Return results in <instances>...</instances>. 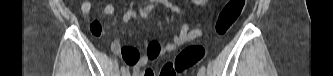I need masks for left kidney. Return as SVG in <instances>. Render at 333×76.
Wrapping results in <instances>:
<instances>
[{
  "label": "left kidney",
  "instance_id": "1",
  "mask_svg": "<svg viewBox=\"0 0 333 76\" xmlns=\"http://www.w3.org/2000/svg\"><path fill=\"white\" fill-rule=\"evenodd\" d=\"M195 2H201V1H197V0H195Z\"/></svg>",
  "mask_w": 333,
  "mask_h": 76
}]
</instances>
